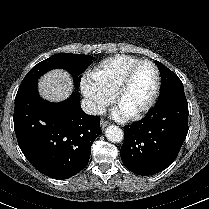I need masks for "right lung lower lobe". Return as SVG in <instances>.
I'll list each match as a JSON object with an SVG mask.
<instances>
[{
  "label": "right lung lower lobe",
  "instance_id": "98d812e1",
  "mask_svg": "<svg viewBox=\"0 0 209 209\" xmlns=\"http://www.w3.org/2000/svg\"><path fill=\"white\" fill-rule=\"evenodd\" d=\"M13 120L25 157L39 172L56 179L86 167L91 146L102 133L100 118L83 112L77 93L51 103L39 96L37 80L18 89Z\"/></svg>",
  "mask_w": 209,
  "mask_h": 209
}]
</instances>
